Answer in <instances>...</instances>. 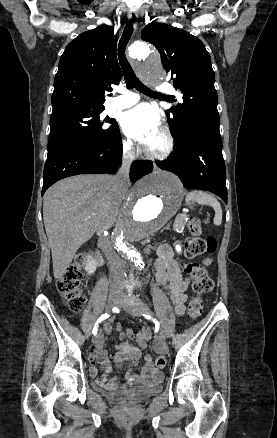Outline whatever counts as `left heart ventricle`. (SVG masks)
Here are the masks:
<instances>
[{
	"mask_svg": "<svg viewBox=\"0 0 277 438\" xmlns=\"http://www.w3.org/2000/svg\"><path fill=\"white\" fill-rule=\"evenodd\" d=\"M165 146V141L162 135L157 136L149 145L148 152L160 153Z\"/></svg>",
	"mask_w": 277,
	"mask_h": 438,
	"instance_id": "obj_1",
	"label": "left heart ventricle"
}]
</instances>
